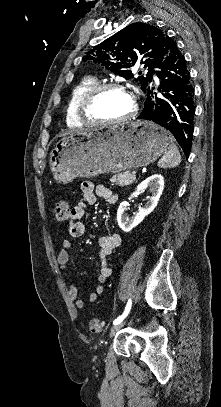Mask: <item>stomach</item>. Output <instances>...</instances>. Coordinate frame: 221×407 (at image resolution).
Segmentation results:
<instances>
[{"label": "stomach", "mask_w": 221, "mask_h": 407, "mask_svg": "<svg viewBox=\"0 0 221 407\" xmlns=\"http://www.w3.org/2000/svg\"><path fill=\"white\" fill-rule=\"evenodd\" d=\"M171 140L168 131L151 121L71 133L51 150L50 171L57 182L67 184L77 177L136 169L156 161Z\"/></svg>", "instance_id": "stomach-1"}]
</instances>
